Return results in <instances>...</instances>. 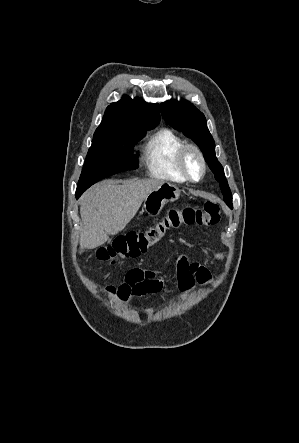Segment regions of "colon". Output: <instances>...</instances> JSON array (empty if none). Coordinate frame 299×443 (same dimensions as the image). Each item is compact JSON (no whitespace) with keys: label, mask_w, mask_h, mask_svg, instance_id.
Masks as SVG:
<instances>
[{"label":"colon","mask_w":299,"mask_h":443,"mask_svg":"<svg viewBox=\"0 0 299 443\" xmlns=\"http://www.w3.org/2000/svg\"><path fill=\"white\" fill-rule=\"evenodd\" d=\"M220 220V208L214 202H206L201 207L184 206L170 209L158 222L145 230L129 232L117 237L111 244L98 250V258L115 262L120 258L137 257L159 243L170 230L183 226L208 227Z\"/></svg>","instance_id":"colon-1"}]
</instances>
